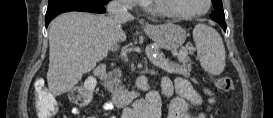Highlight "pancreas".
Listing matches in <instances>:
<instances>
[{"label": "pancreas", "mask_w": 273, "mask_h": 118, "mask_svg": "<svg viewBox=\"0 0 273 118\" xmlns=\"http://www.w3.org/2000/svg\"><path fill=\"white\" fill-rule=\"evenodd\" d=\"M152 51L157 53V56L152 60L154 65L158 66L167 73H177L185 77L190 76L192 66L188 54L191 53V51L183 49L179 52L177 56L179 64L170 63L169 60L165 58L164 54L160 53L158 49H152ZM121 76L122 73L120 69L115 68L105 78L104 87L112 94L119 92L122 90Z\"/></svg>", "instance_id": "obj_1"}]
</instances>
